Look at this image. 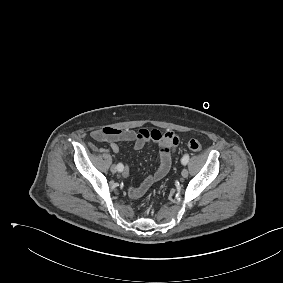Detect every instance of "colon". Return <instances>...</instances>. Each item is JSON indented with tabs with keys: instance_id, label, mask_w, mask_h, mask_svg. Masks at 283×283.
<instances>
[{
	"instance_id": "colon-1",
	"label": "colon",
	"mask_w": 283,
	"mask_h": 283,
	"mask_svg": "<svg viewBox=\"0 0 283 283\" xmlns=\"http://www.w3.org/2000/svg\"><path fill=\"white\" fill-rule=\"evenodd\" d=\"M187 146L189 147V149H191L192 151H200L202 149V145L201 143L196 140V139H190L187 142Z\"/></svg>"
}]
</instances>
